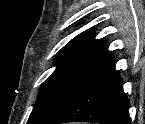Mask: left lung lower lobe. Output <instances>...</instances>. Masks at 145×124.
<instances>
[{
  "instance_id": "0a47b994",
  "label": "left lung lower lobe",
  "mask_w": 145,
  "mask_h": 124,
  "mask_svg": "<svg viewBox=\"0 0 145 124\" xmlns=\"http://www.w3.org/2000/svg\"><path fill=\"white\" fill-rule=\"evenodd\" d=\"M129 101L111 59L43 124L93 122L131 124Z\"/></svg>"
}]
</instances>
